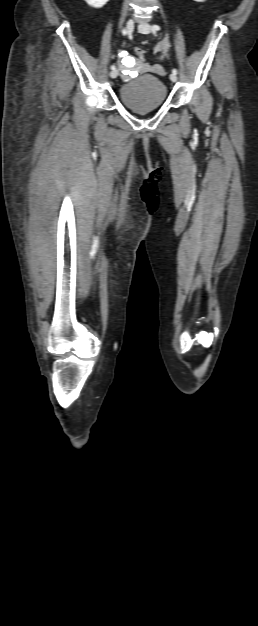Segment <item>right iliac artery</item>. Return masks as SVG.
<instances>
[{"mask_svg":"<svg viewBox=\"0 0 258 626\" xmlns=\"http://www.w3.org/2000/svg\"><path fill=\"white\" fill-rule=\"evenodd\" d=\"M122 34H123V35H126V34H127V30H126V29H123V30H122ZM111 69H112V70H114V69H115V65H111Z\"/></svg>","mask_w":258,"mask_h":626,"instance_id":"right-iliac-artery-1","label":"right iliac artery"}]
</instances>
